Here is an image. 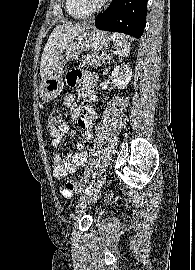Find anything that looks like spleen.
I'll return each mask as SVG.
<instances>
[{"label":"spleen","instance_id":"3e777b00","mask_svg":"<svg viewBox=\"0 0 195 270\" xmlns=\"http://www.w3.org/2000/svg\"><path fill=\"white\" fill-rule=\"evenodd\" d=\"M112 41L119 56H128L131 49L130 43L122 35L118 33H113Z\"/></svg>","mask_w":195,"mask_h":270}]
</instances>
